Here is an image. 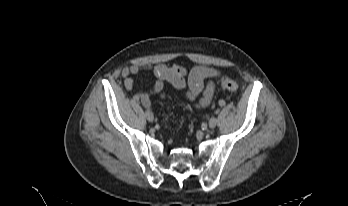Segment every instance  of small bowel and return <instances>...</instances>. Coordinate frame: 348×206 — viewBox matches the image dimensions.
Returning <instances> with one entry per match:
<instances>
[{"label": "small bowel", "instance_id": "c3829d8e", "mask_svg": "<svg viewBox=\"0 0 348 206\" xmlns=\"http://www.w3.org/2000/svg\"><path fill=\"white\" fill-rule=\"evenodd\" d=\"M144 71L151 72L156 78L150 90H141L136 95L147 108L152 107L150 100L152 95L160 94L162 98L166 96L164 82L170 83L177 89H185L186 95L191 101L195 102L199 107H205L210 103L214 93V85L211 80L223 74L221 69L208 66H196L187 73L180 65L168 66L158 64L151 67L132 65L124 68L121 73L126 90L130 91L135 87L132 76Z\"/></svg>", "mask_w": 348, "mask_h": 206}]
</instances>
